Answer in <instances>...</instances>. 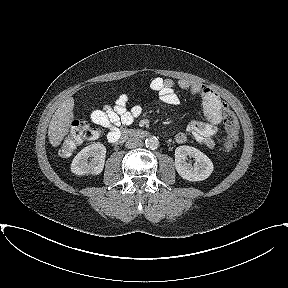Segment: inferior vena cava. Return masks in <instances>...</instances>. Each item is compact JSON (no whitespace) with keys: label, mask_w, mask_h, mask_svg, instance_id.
I'll return each mask as SVG.
<instances>
[{"label":"inferior vena cava","mask_w":288,"mask_h":288,"mask_svg":"<svg viewBox=\"0 0 288 288\" xmlns=\"http://www.w3.org/2000/svg\"><path fill=\"white\" fill-rule=\"evenodd\" d=\"M141 145H142V141L141 139L137 137L129 138L125 143V146L128 149L137 148V147H140Z\"/></svg>","instance_id":"602c4592"}]
</instances>
